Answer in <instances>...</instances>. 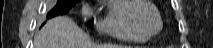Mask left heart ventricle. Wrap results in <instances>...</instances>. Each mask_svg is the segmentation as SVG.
I'll return each instance as SVG.
<instances>
[{
	"label": "left heart ventricle",
	"mask_w": 213,
	"mask_h": 48,
	"mask_svg": "<svg viewBox=\"0 0 213 48\" xmlns=\"http://www.w3.org/2000/svg\"><path fill=\"white\" fill-rule=\"evenodd\" d=\"M138 22L141 28L147 32L152 33L158 29L159 23L154 11L148 7H143L137 14Z\"/></svg>",
	"instance_id": "left-heart-ventricle-1"
}]
</instances>
